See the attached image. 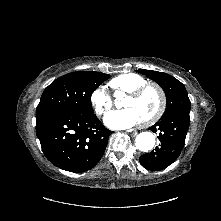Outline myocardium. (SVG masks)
<instances>
[{
	"instance_id": "myocardium-1",
	"label": "myocardium",
	"mask_w": 221,
	"mask_h": 221,
	"mask_svg": "<svg viewBox=\"0 0 221 221\" xmlns=\"http://www.w3.org/2000/svg\"><path fill=\"white\" fill-rule=\"evenodd\" d=\"M150 88L154 89L157 92L160 103L158 109L153 115H151L147 119L142 120V124L146 126L156 123L163 116L167 105V99L164 90L156 83L146 82L135 88L134 90L130 91L127 95V97L139 98L145 91Z\"/></svg>"
}]
</instances>
